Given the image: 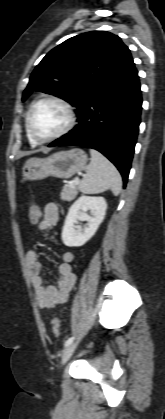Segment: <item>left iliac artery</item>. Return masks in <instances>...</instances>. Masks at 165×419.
Instances as JSON below:
<instances>
[{
  "label": "left iliac artery",
  "mask_w": 165,
  "mask_h": 419,
  "mask_svg": "<svg viewBox=\"0 0 165 419\" xmlns=\"http://www.w3.org/2000/svg\"><path fill=\"white\" fill-rule=\"evenodd\" d=\"M73 340H74V337H70V338H68V339L65 341L64 346H65V347H67L69 344H71V343L73 342Z\"/></svg>",
  "instance_id": "obj_1"
}]
</instances>
